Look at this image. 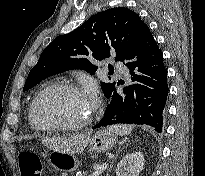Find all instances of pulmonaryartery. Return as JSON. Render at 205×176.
I'll return each mask as SVG.
<instances>
[{"instance_id": "1", "label": "pulmonary artery", "mask_w": 205, "mask_h": 176, "mask_svg": "<svg viewBox=\"0 0 205 176\" xmlns=\"http://www.w3.org/2000/svg\"><path fill=\"white\" fill-rule=\"evenodd\" d=\"M114 67H115L116 71L119 74L126 75L128 73V69H127V67L125 65L116 64Z\"/></svg>"}]
</instances>
